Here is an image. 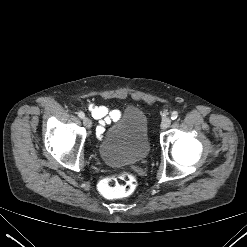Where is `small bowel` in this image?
Wrapping results in <instances>:
<instances>
[{"label":"small bowel","mask_w":247,"mask_h":247,"mask_svg":"<svg viewBox=\"0 0 247 247\" xmlns=\"http://www.w3.org/2000/svg\"><path fill=\"white\" fill-rule=\"evenodd\" d=\"M88 109L91 115L99 120L100 124L96 128L98 138H102L105 132V126L111 122H116L121 117V111L118 109H112L105 105H96L94 103L88 104Z\"/></svg>","instance_id":"c3829d8e"}]
</instances>
